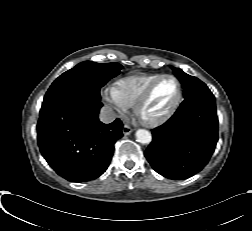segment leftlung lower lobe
<instances>
[{
  "label": "left lung lower lobe",
  "mask_w": 252,
  "mask_h": 231,
  "mask_svg": "<svg viewBox=\"0 0 252 231\" xmlns=\"http://www.w3.org/2000/svg\"><path fill=\"white\" fill-rule=\"evenodd\" d=\"M144 155L152 168L170 179H186L208 163L218 141L212 93L185 98L174 115L152 130Z\"/></svg>",
  "instance_id": "0a47b994"
}]
</instances>
